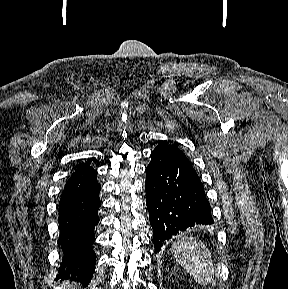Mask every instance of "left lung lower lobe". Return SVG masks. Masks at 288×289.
Wrapping results in <instances>:
<instances>
[{"label":"left lung lower lobe","mask_w":288,"mask_h":289,"mask_svg":"<svg viewBox=\"0 0 288 289\" xmlns=\"http://www.w3.org/2000/svg\"><path fill=\"white\" fill-rule=\"evenodd\" d=\"M146 204L153 228L155 253L164 241L195 224H213L204 186L186 155L164 141L146 168Z\"/></svg>","instance_id":"obj_1"}]
</instances>
